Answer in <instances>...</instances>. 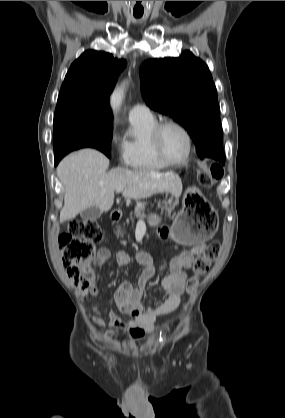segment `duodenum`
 Wrapping results in <instances>:
<instances>
[{
  "label": "duodenum",
  "instance_id": "duodenum-1",
  "mask_svg": "<svg viewBox=\"0 0 285 418\" xmlns=\"http://www.w3.org/2000/svg\"><path fill=\"white\" fill-rule=\"evenodd\" d=\"M122 218V212L118 209L112 211V220L118 222Z\"/></svg>",
  "mask_w": 285,
  "mask_h": 418
}]
</instances>
